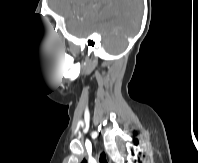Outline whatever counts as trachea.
I'll return each instance as SVG.
<instances>
[{
	"instance_id": "1",
	"label": "trachea",
	"mask_w": 198,
	"mask_h": 163,
	"mask_svg": "<svg viewBox=\"0 0 198 163\" xmlns=\"http://www.w3.org/2000/svg\"><path fill=\"white\" fill-rule=\"evenodd\" d=\"M100 163H107V159H106L105 153H101V155H100Z\"/></svg>"
}]
</instances>
